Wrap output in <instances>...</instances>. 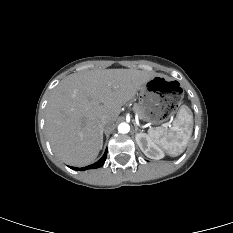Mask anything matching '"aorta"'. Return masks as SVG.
I'll return each instance as SVG.
<instances>
[{
  "instance_id": "aorta-1",
  "label": "aorta",
  "mask_w": 233,
  "mask_h": 233,
  "mask_svg": "<svg viewBox=\"0 0 233 233\" xmlns=\"http://www.w3.org/2000/svg\"><path fill=\"white\" fill-rule=\"evenodd\" d=\"M118 131L119 133H122V134H126L130 131V126L128 123H120L119 126H118Z\"/></svg>"
}]
</instances>
